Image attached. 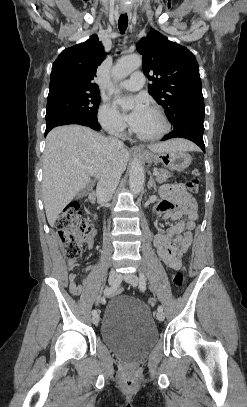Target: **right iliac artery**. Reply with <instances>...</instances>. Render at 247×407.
I'll return each instance as SVG.
<instances>
[{
	"label": "right iliac artery",
	"instance_id": "obj_1",
	"mask_svg": "<svg viewBox=\"0 0 247 407\" xmlns=\"http://www.w3.org/2000/svg\"><path fill=\"white\" fill-rule=\"evenodd\" d=\"M119 287H120V285H113V286H111V287H107L105 290H104V295H106V296H110V295H112V294H114L118 289H119ZM92 314L93 315H96L97 314V310H93L92 311Z\"/></svg>",
	"mask_w": 247,
	"mask_h": 407
}]
</instances>
